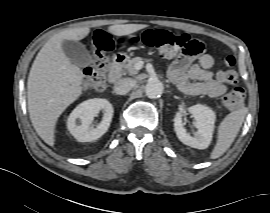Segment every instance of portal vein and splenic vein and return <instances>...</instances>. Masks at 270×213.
<instances>
[{"label": "portal vein and splenic vein", "instance_id": "1", "mask_svg": "<svg viewBox=\"0 0 270 213\" xmlns=\"http://www.w3.org/2000/svg\"><path fill=\"white\" fill-rule=\"evenodd\" d=\"M142 67H143V63H142V62H139V63H137V64L135 65V68H136L137 70H140Z\"/></svg>", "mask_w": 270, "mask_h": 213}]
</instances>
